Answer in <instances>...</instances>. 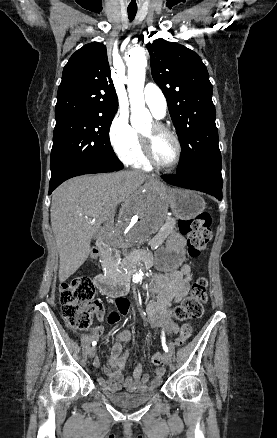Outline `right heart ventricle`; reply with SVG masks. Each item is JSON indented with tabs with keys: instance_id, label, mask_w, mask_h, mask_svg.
<instances>
[{
	"instance_id": "obj_1",
	"label": "right heart ventricle",
	"mask_w": 277,
	"mask_h": 438,
	"mask_svg": "<svg viewBox=\"0 0 277 438\" xmlns=\"http://www.w3.org/2000/svg\"><path fill=\"white\" fill-rule=\"evenodd\" d=\"M134 168L141 169L143 171H150L152 169V165L146 159L141 141L138 138V145L135 153L128 159H126Z\"/></svg>"
}]
</instances>
